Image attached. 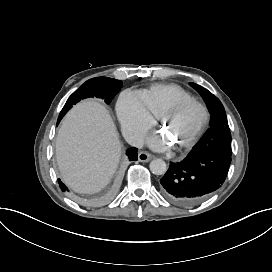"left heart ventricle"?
Here are the masks:
<instances>
[{"instance_id":"1","label":"left heart ventricle","mask_w":272,"mask_h":272,"mask_svg":"<svg viewBox=\"0 0 272 272\" xmlns=\"http://www.w3.org/2000/svg\"><path fill=\"white\" fill-rule=\"evenodd\" d=\"M199 118V110L190 108L179 113H168L165 117V122L173 134L183 143L197 125Z\"/></svg>"}]
</instances>
